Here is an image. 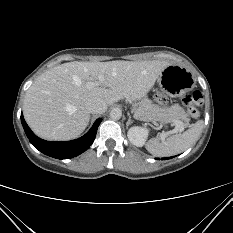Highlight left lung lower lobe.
Returning <instances> with one entry per match:
<instances>
[{"instance_id":"left-lung-lower-lobe-1","label":"left lung lower lobe","mask_w":233,"mask_h":233,"mask_svg":"<svg viewBox=\"0 0 233 233\" xmlns=\"http://www.w3.org/2000/svg\"><path fill=\"white\" fill-rule=\"evenodd\" d=\"M169 158H172V157H168V158H162V160H164V159H169Z\"/></svg>"}]
</instances>
